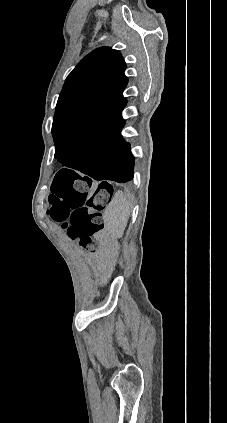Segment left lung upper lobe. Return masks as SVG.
Instances as JSON below:
<instances>
[{
    "label": "left lung upper lobe",
    "instance_id": "1",
    "mask_svg": "<svg viewBox=\"0 0 227 423\" xmlns=\"http://www.w3.org/2000/svg\"><path fill=\"white\" fill-rule=\"evenodd\" d=\"M121 53L109 47L95 49L73 69L60 93L52 134L57 142L86 124L119 113L126 105L122 93L128 83Z\"/></svg>",
    "mask_w": 227,
    "mask_h": 423
}]
</instances>
